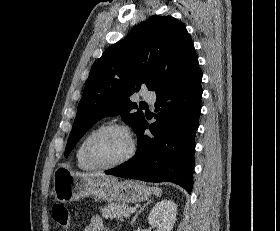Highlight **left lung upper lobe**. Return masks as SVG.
I'll return each instance as SVG.
<instances>
[{
  "mask_svg": "<svg viewBox=\"0 0 280 231\" xmlns=\"http://www.w3.org/2000/svg\"><path fill=\"white\" fill-rule=\"evenodd\" d=\"M199 67L184 24L171 16H151L97 59L86 81L65 150L68 156L98 120L120 114L136 129L144 114L132 113L130 96L146 85L159 92L188 77Z\"/></svg>",
  "mask_w": 280,
  "mask_h": 231,
  "instance_id": "obj_1",
  "label": "left lung upper lobe"
}]
</instances>
